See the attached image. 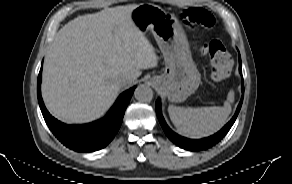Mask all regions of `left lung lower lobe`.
<instances>
[{"instance_id":"left-lung-lower-lobe-1","label":"left lung lower lobe","mask_w":292,"mask_h":184,"mask_svg":"<svg viewBox=\"0 0 292 184\" xmlns=\"http://www.w3.org/2000/svg\"><path fill=\"white\" fill-rule=\"evenodd\" d=\"M240 65H239V71L242 74V69H241V59H240ZM242 98L241 101L237 107V110L235 112V115L233 116V118L230 120L229 123H227L219 132H217L216 134L204 138V139H199V140H193V139H188L185 137H181L178 134L174 133L166 124L162 113H161V109H160V100L158 99L156 102V114L157 117L159 119V122L164 130V132L166 133L167 137L174 142L176 145H178L181 148H184L186 150H191V151H196V150H204L207 148L212 147L213 145H215L216 143H218L226 134L227 132L230 130V128L232 127V125L234 124L237 115L240 111L242 102H243V95H244V82L242 80Z\"/></svg>"}]
</instances>
